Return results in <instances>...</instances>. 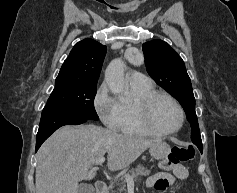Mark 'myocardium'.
<instances>
[{"label":"myocardium","instance_id":"f54148a6","mask_svg":"<svg viewBox=\"0 0 237 193\" xmlns=\"http://www.w3.org/2000/svg\"><path fill=\"white\" fill-rule=\"evenodd\" d=\"M160 98L170 100L178 109L180 114V123L177 128L173 130H159L155 128L149 121L150 113L155 102ZM135 118L138 126L150 135L154 136H168L179 132L185 122V112L179 101L168 93L154 92L146 98L139 100L135 104Z\"/></svg>","mask_w":237,"mask_h":193}]
</instances>
